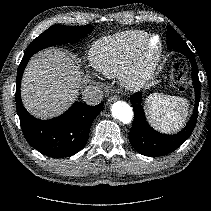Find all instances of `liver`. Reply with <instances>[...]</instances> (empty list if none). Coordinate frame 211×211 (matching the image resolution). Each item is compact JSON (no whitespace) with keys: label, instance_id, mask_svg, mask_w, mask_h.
<instances>
[{"label":"liver","instance_id":"obj_1","mask_svg":"<svg viewBox=\"0 0 211 211\" xmlns=\"http://www.w3.org/2000/svg\"><path fill=\"white\" fill-rule=\"evenodd\" d=\"M80 74L66 52L60 49L38 52L30 59L21 83L25 108L41 119L62 114L77 99Z\"/></svg>","mask_w":211,"mask_h":211}]
</instances>
